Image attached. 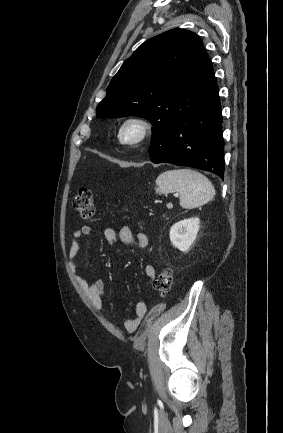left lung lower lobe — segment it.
<instances>
[{"label":"left lung lower lobe","mask_w":283,"mask_h":433,"mask_svg":"<svg viewBox=\"0 0 283 433\" xmlns=\"http://www.w3.org/2000/svg\"><path fill=\"white\" fill-rule=\"evenodd\" d=\"M198 106L171 125L153 130L150 160L210 171L224 177V142L219 89L209 60L199 79Z\"/></svg>","instance_id":"left-lung-lower-lobe-1"}]
</instances>
